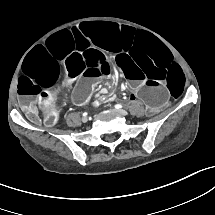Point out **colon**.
Wrapping results in <instances>:
<instances>
[{"label":"colon","instance_id":"obj_1","mask_svg":"<svg viewBox=\"0 0 215 215\" xmlns=\"http://www.w3.org/2000/svg\"><path fill=\"white\" fill-rule=\"evenodd\" d=\"M31 117L33 116L32 114L30 115ZM57 112L54 108H50V110L48 111L47 115H46V123L49 126H52L55 124V122L57 121Z\"/></svg>","mask_w":215,"mask_h":215}]
</instances>
